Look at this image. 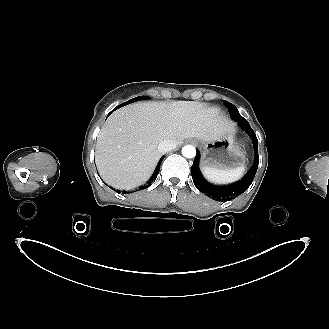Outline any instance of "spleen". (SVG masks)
<instances>
[{"instance_id":"3e777b00","label":"spleen","mask_w":329,"mask_h":329,"mask_svg":"<svg viewBox=\"0 0 329 329\" xmlns=\"http://www.w3.org/2000/svg\"><path fill=\"white\" fill-rule=\"evenodd\" d=\"M245 170V167L236 168L232 170L203 168L202 172L205 178L214 184H229L241 179Z\"/></svg>"}]
</instances>
